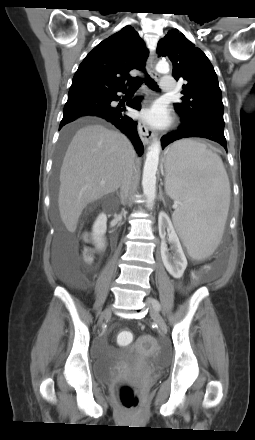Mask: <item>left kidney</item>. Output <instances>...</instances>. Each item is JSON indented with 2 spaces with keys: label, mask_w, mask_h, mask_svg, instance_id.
Listing matches in <instances>:
<instances>
[{
  "label": "left kidney",
  "mask_w": 255,
  "mask_h": 440,
  "mask_svg": "<svg viewBox=\"0 0 255 440\" xmlns=\"http://www.w3.org/2000/svg\"><path fill=\"white\" fill-rule=\"evenodd\" d=\"M166 229L168 233V241L172 245L174 250L173 256L169 254V250L165 241L161 243V258L167 271L174 278L178 279L183 276V273L187 267V259L184 255L179 238L174 230L172 222L168 215L164 212L159 214V230L160 232Z\"/></svg>",
  "instance_id": "5707ae66"
}]
</instances>
